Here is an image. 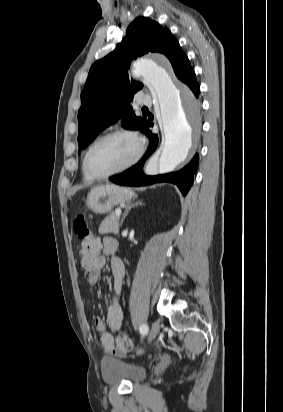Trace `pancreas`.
Wrapping results in <instances>:
<instances>
[{
  "label": "pancreas",
  "instance_id": "1",
  "mask_svg": "<svg viewBox=\"0 0 283 412\" xmlns=\"http://www.w3.org/2000/svg\"><path fill=\"white\" fill-rule=\"evenodd\" d=\"M99 233L100 234H107L119 233V216L116 213H111L108 217H106L99 226Z\"/></svg>",
  "mask_w": 283,
  "mask_h": 412
}]
</instances>
